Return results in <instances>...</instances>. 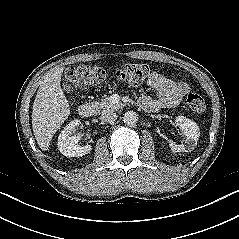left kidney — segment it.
<instances>
[{"label":"left kidney","instance_id":"obj_1","mask_svg":"<svg viewBox=\"0 0 239 239\" xmlns=\"http://www.w3.org/2000/svg\"><path fill=\"white\" fill-rule=\"evenodd\" d=\"M176 124L179 126L182 131L183 135L185 136L184 143L175 144L170 143L169 147L173 152H191L197 146V141L200 136L199 127L196 122L184 117V116H177L176 117Z\"/></svg>","mask_w":239,"mask_h":239}]
</instances>
